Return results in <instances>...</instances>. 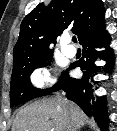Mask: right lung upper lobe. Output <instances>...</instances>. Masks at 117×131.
I'll list each match as a JSON object with an SVG mask.
<instances>
[{
  "mask_svg": "<svg viewBox=\"0 0 117 131\" xmlns=\"http://www.w3.org/2000/svg\"><path fill=\"white\" fill-rule=\"evenodd\" d=\"M105 10L102 0H52L39 4L22 21L13 51V68L31 64L49 55L48 46L71 28L81 43L101 31Z\"/></svg>",
  "mask_w": 117,
  "mask_h": 131,
  "instance_id": "cb5924a9",
  "label": "right lung upper lobe"
}]
</instances>
